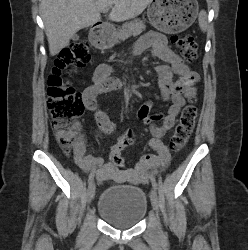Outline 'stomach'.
<instances>
[{
    "mask_svg": "<svg viewBox=\"0 0 248 250\" xmlns=\"http://www.w3.org/2000/svg\"><path fill=\"white\" fill-rule=\"evenodd\" d=\"M199 7L196 0H154L148 6L147 17L153 27L167 33H179L190 27L197 15ZM102 37L105 35L102 33ZM108 47L116 40L113 36L107 39Z\"/></svg>",
    "mask_w": 248,
    "mask_h": 250,
    "instance_id": "stomach-1",
    "label": "stomach"
}]
</instances>
